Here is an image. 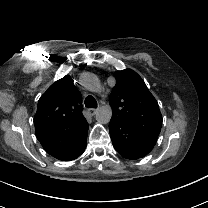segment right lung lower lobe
<instances>
[{
  "mask_svg": "<svg viewBox=\"0 0 208 208\" xmlns=\"http://www.w3.org/2000/svg\"><path fill=\"white\" fill-rule=\"evenodd\" d=\"M88 123L84 118L73 127L59 133L37 136L44 150L53 157L70 161L79 157L86 148Z\"/></svg>",
  "mask_w": 208,
  "mask_h": 208,
  "instance_id": "1",
  "label": "right lung lower lobe"
}]
</instances>
